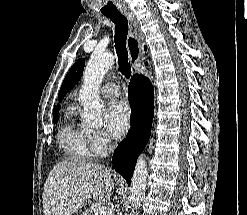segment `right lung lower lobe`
Returning a JSON list of instances; mask_svg holds the SVG:
<instances>
[{"instance_id": "obj_1", "label": "right lung lower lobe", "mask_w": 247, "mask_h": 215, "mask_svg": "<svg viewBox=\"0 0 247 215\" xmlns=\"http://www.w3.org/2000/svg\"><path fill=\"white\" fill-rule=\"evenodd\" d=\"M153 96L154 89L149 79L143 75H133L128 87L131 127L112 158L114 169L125 178L128 184L131 183L137 157L150 137L154 115Z\"/></svg>"}]
</instances>
